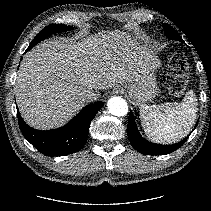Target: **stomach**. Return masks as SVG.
<instances>
[{
  "mask_svg": "<svg viewBox=\"0 0 211 211\" xmlns=\"http://www.w3.org/2000/svg\"><path fill=\"white\" fill-rule=\"evenodd\" d=\"M159 67V60L151 51L149 59L139 76L127 86L129 98L134 105H142L151 101L157 94L156 71Z\"/></svg>",
  "mask_w": 211,
  "mask_h": 211,
  "instance_id": "1",
  "label": "stomach"
}]
</instances>
